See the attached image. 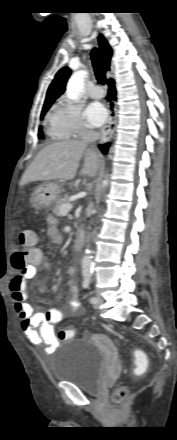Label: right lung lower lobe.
Listing matches in <instances>:
<instances>
[{
    "mask_svg": "<svg viewBox=\"0 0 177 440\" xmlns=\"http://www.w3.org/2000/svg\"><path fill=\"white\" fill-rule=\"evenodd\" d=\"M108 85H109V91H108V100H116V90H115V86H114V80L110 79L108 81ZM111 106H113V103H111ZM109 147V143L104 144V145H100V149L102 150V152L104 154L107 153Z\"/></svg>",
    "mask_w": 177,
    "mask_h": 440,
    "instance_id": "right-lung-lower-lobe-1",
    "label": "right lung lower lobe"
}]
</instances>
